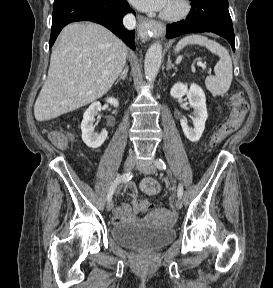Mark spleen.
Listing matches in <instances>:
<instances>
[{"instance_id": "1", "label": "spleen", "mask_w": 273, "mask_h": 288, "mask_svg": "<svg viewBox=\"0 0 273 288\" xmlns=\"http://www.w3.org/2000/svg\"><path fill=\"white\" fill-rule=\"evenodd\" d=\"M197 44L205 46L209 51L219 56V61L214 67V76H208L205 80L207 89L214 95H223L226 93L232 82V60L228 51L214 40L206 36L193 34L182 38L175 47L178 53L186 45Z\"/></svg>"}]
</instances>
